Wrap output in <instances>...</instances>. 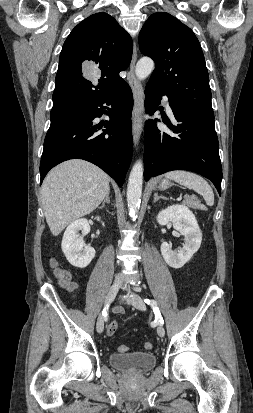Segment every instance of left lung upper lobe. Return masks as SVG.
Here are the masks:
<instances>
[{
  "label": "left lung upper lobe",
  "mask_w": 253,
  "mask_h": 413,
  "mask_svg": "<svg viewBox=\"0 0 253 413\" xmlns=\"http://www.w3.org/2000/svg\"><path fill=\"white\" fill-rule=\"evenodd\" d=\"M139 48L155 61L149 81L169 102L214 118L204 55L189 27L166 12L154 13L140 31Z\"/></svg>",
  "instance_id": "obj_1"
}]
</instances>
